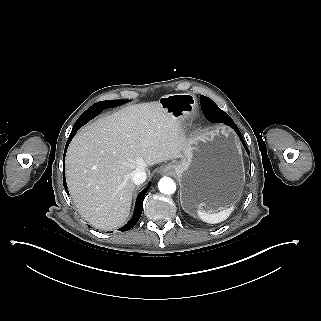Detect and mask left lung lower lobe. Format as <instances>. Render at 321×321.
<instances>
[{"label": "left lung lower lobe", "mask_w": 321, "mask_h": 321, "mask_svg": "<svg viewBox=\"0 0 321 321\" xmlns=\"http://www.w3.org/2000/svg\"><path fill=\"white\" fill-rule=\"evenodd\" d=\"M202 112L204 113L205 117L211 122H224L225 124L231 126L236 131L240 140L245 146L247 152L249 153V150L243 140V137L239 129L237 128V126L234 124L233 120L224 111H222L215 103L214 105H211V106L202 105Z\"/></svg>", "instance_id": "0a47b994"}]
</instances>
